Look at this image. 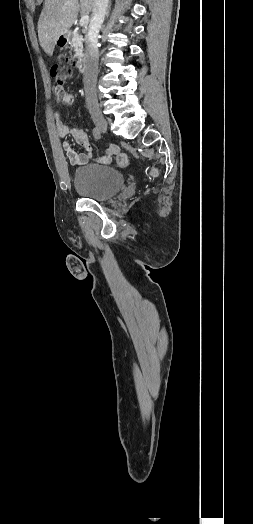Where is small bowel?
<instances>
[{
  "label": "small bowel",
  "mask_w": 253,
  "mask_h": 524,
  "mask_svg": "<svg viewBox=\"0 0 253 524\" xmlns=\"http://www.w3.org/2000/svg\"><path fill=\"white\" fill-rule=\"evenodd\" d=\"M55 95L57 101L62 105H72L74 103V96L66 92L63 88L61 90L55 89ZM54 118L58 135L65 140H68L71 135L75 142L85 149V152L78 153L73 149L72 145L68 141H63L62 148L72 165L82 166L91 160L99 165H108L111 163L112 157L120 151L118 145L112 144L106 149L104 154L93 158L90 152L89 138L87 133L78 127L69 128L61 120L59 112L54 113Z\"/></svg>",
  "instance_id": "1"
}]
</instances>
